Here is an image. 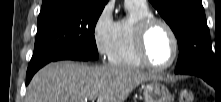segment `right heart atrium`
<instances>
[{
    "mask_svg": "<svg viewBox=\"0 0 221 102\" xmlns=\"http://www.w3.org/2000/svg\"><path fill=\"white\" fill-rule=\"evenodd\" d=\"M117 22L113 18L111 5H106L96 17L92 27V38L96 51L109 58L115 40Z\"/></svg>",
    "mask_w": 221,
    "mask_h": 102,
    "instance_id": "obj_1",
    "label": "right heart atrium"
}]
</instances>
